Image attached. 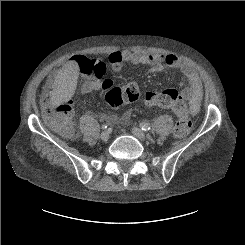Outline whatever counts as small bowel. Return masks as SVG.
Segmentation results:
<instances>
[{"label":"small bowel","instance_id":"1","mask_svg":"<svg viewBox=\"0 0 245 245\" xmlns=\"http://www.w3.org/2000/svg\"><path fill=\"white\" fill-rule=\"evenodd\" d=\"M108 60L114 72L121 71L127 65L150 66L153 72H160L163 66L166 65L171 69L179 71L182 75L180 94L189 104V113L195 115L199 111L203 99V89L199 76L190 65L186 64L178 56L173 54H145L131 50H122L109 53ZM76 70L75 61L73 58H70L58 65L54 74L64 76L69 73H74ZM110 86L111 81L109 79H96L91 77L83 84L81 92H100Z\"/></svg>","mask_w":245,"mask_h":245}]
</instances>
